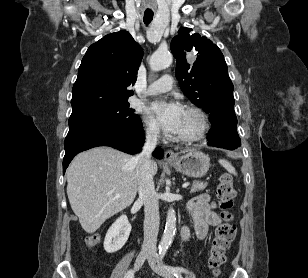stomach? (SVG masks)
<instances>
[{"label": "stomach", "mask_w": 308, "mask_h": 278, "mask_svg": "<svg viewBox=\"0 0 308 278\" xmlns=\"http://www.w3.org/2000/svg\"><path fill=\"white\" fill-rule=\"evenodd\" d=\"M169 165L186 176L199 178L209 170L210 159L203 152L191 150L176 160L169 162Z\"/></svg>", "instance_id": "obj_1"}]
</instances>
